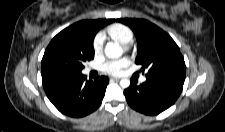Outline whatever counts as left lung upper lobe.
<instances>
[{
    "instance_id": "5c2ea615",
    "label": "left lung upper lobe",
    "mask_w": 225,
    "mask_h": 132,
    "mask_svg": "<svg viewBox=\"0 0 225 132\" xmlns=\"http://www.w3.org/2000/svg\"><path fill=\"white\" fill-rule=\"evenodd\" d=\"M134 32L138 50L135 62L148 70L146 77L185 79L186 66L179 47L162 29L143 19H116Z\"/></svg>"
}]
</instances>
